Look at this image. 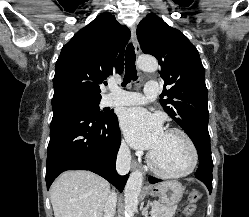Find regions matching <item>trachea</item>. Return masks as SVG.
<instances>
[{
	"mask_svg": "<svg viewBox=\"0 0 249 217\" xmlns=\"http://www.w3.org/2000/svg\"><path fill=\"white\" fill-rule=\"evenodd\" d=\"M136 54L132 43H129L125 52V76L122 86H126L131 80H137V70L135 67Z\"/></svg>",
	"mask_w": 249,
	"mask_h": 217,
	"instance_id": "obj_1",
	"label": "trachea"
}]
</instances>
